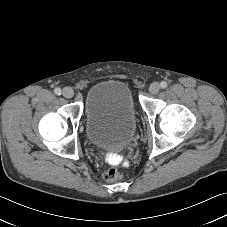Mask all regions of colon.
<instances>
[{
	"mask_svg": "<svg viewBox=\"0 0 227 227\" xmlns=\"http://www.w3.org/2000/svg\"><path fill=\"white\" fill-rule=\"evenodd\" d=\"M108 161L110 163H117L119 161V157L115 154H111L108 156ZM122 177V174L114 167L108 168L103 172V178L107 182H116L120 180Z\"/></svg>",
	"mask_w": 227,
	"mask_h": 227,
	"instance_id": "1",
	"label": "colon"
}]
</instances>
